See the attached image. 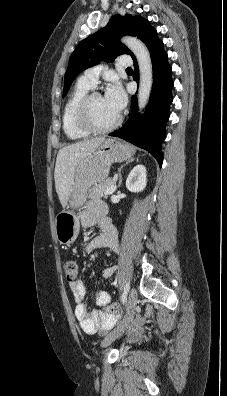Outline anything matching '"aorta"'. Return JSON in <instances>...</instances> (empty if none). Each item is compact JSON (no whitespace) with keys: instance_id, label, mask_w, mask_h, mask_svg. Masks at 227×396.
Masks as SVG:
<instances>
[{"instance_id":"aorta-1","label":"aorta","mask_w":227,"mask_h":396,"mask_svg":"<svg viewBox=\"0 0 227 396\" xmlns=\"http://www.w3.org/2000/svg\"><path fill=\"white\" fill-rule=\"evenodd\" d=\"M122 42L134 53L140 72L138 107L139 111L146 107L153 84V68L150 53L145 44L139 39L131 36L122 38Z\"/></svg>"}]
</instances>
